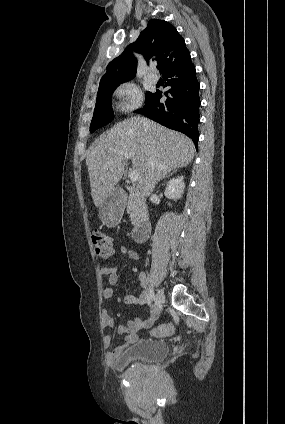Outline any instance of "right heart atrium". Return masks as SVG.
Masks as SVG:
<instances>
[{"label": "right heart atrium", "mask_w": 285, "mask_h": 424, "mask_svg": "<svg viewBox=\"0 0 285 424\" xmlns=\"http://www.w3.org/2000/svg\"><path fill=\"white\" fill-rule=\"evenodd\" d=\"M116 108L121 113H131L138 109L143 102V92L133 81L120 83L114 91Z\"/></svg>", "instance_id": "1"}]
</instances>
